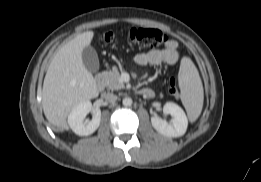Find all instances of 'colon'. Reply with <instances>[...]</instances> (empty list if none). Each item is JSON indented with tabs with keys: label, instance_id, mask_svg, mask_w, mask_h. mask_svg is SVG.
Segmentation results:
<instances>
[{
	"label": "colon",
	"instance_id": "colon-1",
	"mask_svg": "<svg viewBox=\"0 0 261 182\" xmlns=\"http://www.w3.org/2000/svg\"><path fill=\"white\" fill-rule=\"evenodd\" d=\"M101 38L105 42H112L116 39V34L112 32L104 33ZM128 41L137 48H157L168 42L167 36L156 29L135 27L128 31ZM168 92L171 96H178V90L174 79L168 82Z\"/></svg>",
	"mask_w": 261,
	"mask_h": 182
}]
</instances>
